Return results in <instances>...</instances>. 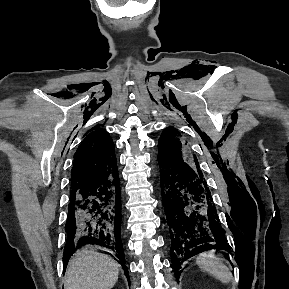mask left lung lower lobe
<instances>
[{"label": "left lung lower lobe", "instance_id": "left-lung-lower-lobe-1", "mask_svg": "<svg viewBox=\"0 0 289 289\" xmlns=\"http://www.w3.org/2000/svg\"><path fill=\"white\" fill-rule=\"evenodd\" d=\"M158 163L172 268L178 280L188 258L229 247L205 178L187 162L164 153H158Z\"/></svg>", "mask_w": 289, "mask_h": 289}]
</instances>
